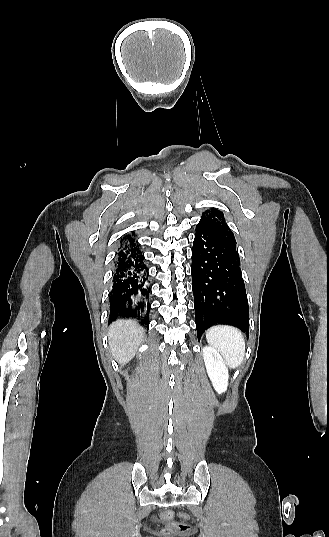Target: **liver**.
Masks as SVG:
<instances>
[{"label":"liver","instance_id":"1","mask_svg":"<svg viewBox=\"0 0 329 537\" xmlns=\"http://www.w3.org/2000/svg\"><path fill=\"white\" fill-rule=\"evenodd\" d=\"M144 333V329L131 320H117L112 323L108 332L112 356L121 365L128 363L135 356Z\"/></svg>","mask_w":329,"mask_h":537}]
</instances>
